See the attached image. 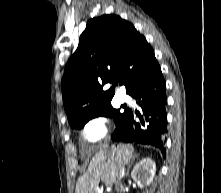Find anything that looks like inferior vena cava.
<instances>
[{
    "label": "inferior vena cava",
    "instance_id": "obj_1",
    "mask_svg": "<svg viewBox=\"0 0 221 193\" xmlns=\"http://www.w3.org/2000/svg\"><path fill=\"white\" fill-rule=\"evenodd\" d=\"M125 175V168L124 165H120L118 168V183L116 184V189L120 186V180L123 178Z\"/></svg>",
    "mask_w": 221,
    "mask_h": 193
}]
</instances>
